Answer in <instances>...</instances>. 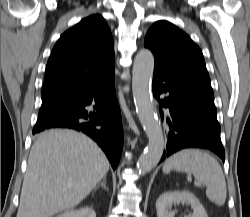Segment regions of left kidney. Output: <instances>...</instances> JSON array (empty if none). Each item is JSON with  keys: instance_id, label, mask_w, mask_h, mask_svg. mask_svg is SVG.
Returning a JSON list of instances; mask_svg holds the SVG:
<instances>
[{"instance_id": "1", "label": "left kidney", "mask_w": 250, "mask_h": 217, "mask_svg": "<svg viewBox=\"0 0 250 217\" xmlns=\"http://www.w3.org/2000/svg\"><path fill=\"white\" fill-rule=\"evenodd\" d=\"M180 203L190 204L193 213L190 217H208L204 207L197 197L189 191H168L159 196L156 201L157 217H174L172 206Z\"/></svg>"}]
</instances>
